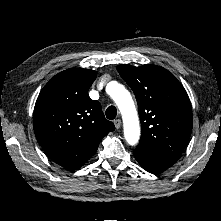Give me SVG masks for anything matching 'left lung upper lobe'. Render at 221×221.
I'll list each match as a JSON object with an SVG mask.
<instances>
[{"instance_id":"left-lung-upper-lobe-1","label":"left lung upper lobe","mask_w":221,"mask_h":221,"mask_svg":"<svg viewBox=\"0 0 221 221\" xmlns=\"http://www.w3.org/2000/svg\"><path fill=\"white\" fill-rule=\"evenodd\" d=\"M117 70L138 104L142 135L136 149L177 161L192 130V108L185 89L160 66L122 64Z\"/></svg>"}]
</instances>
